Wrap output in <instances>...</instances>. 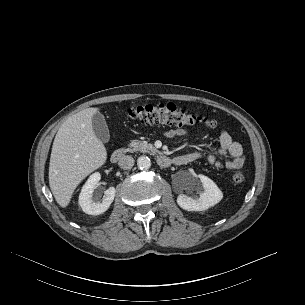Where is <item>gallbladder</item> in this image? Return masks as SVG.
<instances>
[{
  "instance_id": "bac80fb5",
  "label": "gallbladder",
  "mask_w": 305,
  "mask_h": 305,
  "mask_svg": "<svg viewBox=\"0 0 305 305\" xmlns=\"http://www.w3.org/2000/svg\"><path fill=\"white\" fill-rule=\"evenodd\" d=\"M92 126L96 137L103 143L110 139L109 129L101 113H96L92 118Z\"/></svg>"
}]
</instances>
